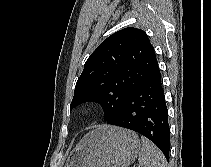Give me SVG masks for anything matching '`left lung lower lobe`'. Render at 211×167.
I'll use <instances>...</instances> for the list:
<instances>
[{
  "mask_svg": "<svg viewBox=\"0 0 211 167\" xmlns=\"http://www.w3.org/2000/svg\"><path fill=\"white\" fill-rule=\"evenodd\" d=\"M107 124L136 131L152 142L169 160L170 128L161 73L158 65L149 78L124 101L119 112Z\"/></svg>",
  "mask_w": 211,
  "mask_h": 167,
  "instance_id": "0a47b994",
  "label": "left lung lower lobe"
}]
</instances>
